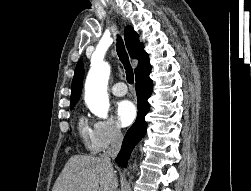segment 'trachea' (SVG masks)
Segmentation results:
<instances>
[{
	"mask_svg": "<svg viewBox=\"0 0 251 191\" xmlns=\"http://www.w3.org/2000/svg\"><path fill=\"white\" fill-rule=\"evenodd\" d=\"M116 49L119 59L121 60L125 68L126 80L130 85H132L134 83L133 68L130 65L128 54L126 52L123 40L120 36L117 37Z\"/></svg>",
	"mask_w": 251,
	"mask_h": 191,
	"instance_id": "trachea-1",
	"label": "trachea"
}]
</instances>
